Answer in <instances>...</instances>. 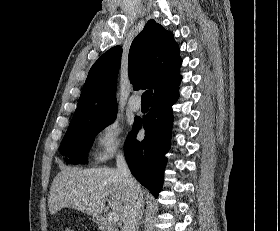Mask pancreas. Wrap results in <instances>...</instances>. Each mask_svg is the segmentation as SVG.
<instances>
[{"label":"pancreas","mask_w":280,"mask_h":231,"mask_svg":"<svg viewBox=\"0 0 280 231\" xmlns=\"http://www.w3.org/2000/svg\"><path fill=\"white\" fill-rule=\"evenodd\" d=\"M117 227H113L111 223H104L103 231H116Z\"/></svg>","instance_id":"pancreas-1"}]
</instances>
